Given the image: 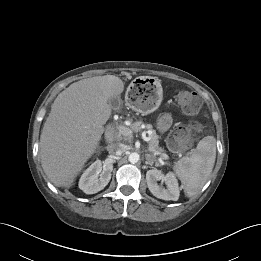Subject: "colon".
<instances>
[{"label":"colon","mask_w":261,"mask_h":261,"mask_svg":"<svg viewBox=\"0 0 261 261\" xmlns=\"http://www.w3.org/2000/svg\"><path fill=\"white\" fill-rule=\"evenodd\" d=\"M176 100L181 109L187 114H194L200 108V99L195 92L187 89H180L176 93ZM201 125L197 121L190 122L186 127L175 129L169 136V147L174 152L190 148L192 135L201 131Z\"/></svg>","instance_id":"5ec220e1"}]
</instances>
